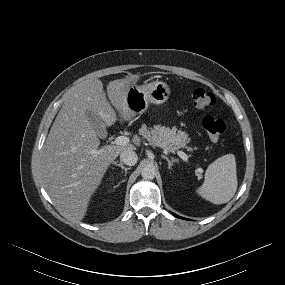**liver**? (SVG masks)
<instances>
[{"instance_id":"liver-1","label":"liver","mask_w":285,"mask_h":285,"mask_svg":"<svg viewBox=\"0 0 285 285\" xmlns=\"http://www.w3.org/2000/svg\"><path fill=\"white\" fill-rule=\"evenodd\" d=\"M137 80V76H130L111 81L107 95L101 80L95 78L84 80L68 91L41 158L44 187L64 217L81 221L110 164L122 151L135 149L133 144L99 148L100 140L87 112L100 117L105 127L117 121L114 108L124 121H130L135 114L129 109L126 97ZM133 142L140 144L138 137Z\"/></svg>"}]
</instances>
